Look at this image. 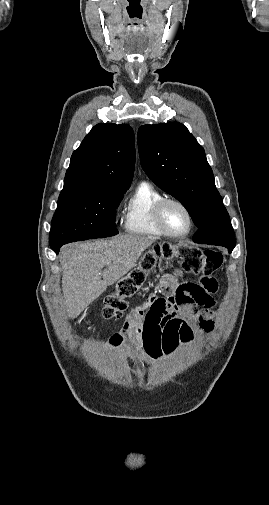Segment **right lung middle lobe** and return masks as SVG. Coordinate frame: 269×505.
I'll return each mask as SVG.
<instances>
[{
  "mask_svg": "<svg viewBox=\"0 0 269 505\" xmlns=\"http://www.w3.org/2000/svg\"><path fill=\"white\" fill-rule=\"evenodd\" d=\"M126 190L63 189L52 219L50 246L118 234L116 208Z\"/></svg>",
  "mask_w": 269,
  "mask_h": 505,
  "instance_id": "right-lung-middle-lobe-1",
  "label": "right lung middle lobe"
}]
</instances>
